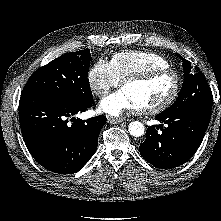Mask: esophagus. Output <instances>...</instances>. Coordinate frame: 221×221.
Returning a JSON list of instances; mask_svg holds the SVG:
<instances>
[{
  "label": "esophagus",
  "mask_w": 221,
  "mask_h": 221,
  "mask_svg": "<svg viewBox=\"0 0 221 221\" xmlns=\"http://www.w3.org/2000/svg\"><path fill=\"white\" fill-rule=\"evenodd\" d=\"M107 120H108V123L110 124H118L124 121L123 118H114V117H108Z\"/></svg>",
  "instance_id": "esophagus-1"
}]
</instances>
